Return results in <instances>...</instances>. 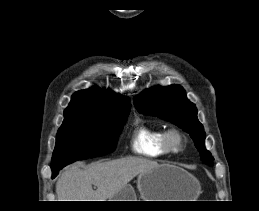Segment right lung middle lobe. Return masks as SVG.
<instances>
[{"mask_svg": "<svg viewBox=\"0 0 259 211\" xmlns=\"http://www.w3.org/2000/svg\"><path fill=\"white\" fill-rule=\"evenodd\" d=\"M127 116L128 113L96 115L83 112L64 115L57 133L52 171L77 160L113 152Z\"/></svg>", "mask_w": 259, "mask_h": 211, "instance_id": "obj_1", "label": "right lung middle lobe"}]
</instances>
